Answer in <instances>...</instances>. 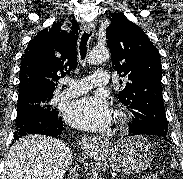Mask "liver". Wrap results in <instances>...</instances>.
<instances>
[{"label": "liver", "mask_w": 183, "mask_h": 179, "mask_svg": "<svg viewBox=\"0 0 183 179\" xmlns=\"http://www.w3.org/2000/svg\"><path fill=\"white\" fill-rule=\"evenodd\" d=\"M72 158V151L61 141L27 135L10 148L1 179H63Z\"/></svg>", "instance_id": "1"}]
</instances>
